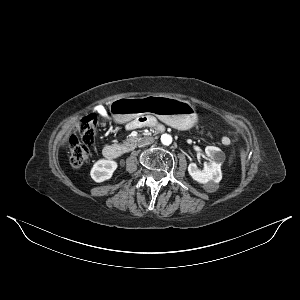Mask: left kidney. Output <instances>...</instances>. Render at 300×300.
<instances>
[{
  "instance_id": "obj_1",
  "label": "left kidney",
  "mask_w": 300,
  "mask_h": 300,
  "mask_svg": "<svg viewBox=\"0 0 300 300\" xmlns=\"http://www.w3.org/2000/svg\"><path fill=\"white\" fill-rule=\"evenodd\" d=\"M205 153L209 157V162L204 164V169L200 170L195 163H190L188 172L199 183H219L222 179L221 165L225 160V154L215 146H207Z\"/></svg>"
}]
</instances>
